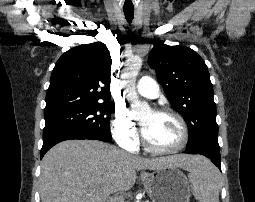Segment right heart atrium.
I'll use <instances>...</instances> for the list:
<instances>
[{"mask_svg": "<svg viewBox=\"0 0 255 202\" xmlns=\"http://www.w3.org/2000/svg\"><path fill=\"white\" fill-rule=\"evenodd\" d=\"M111 134L122 148L133 151L139 142V132L136 124L123 109H116L111 119Z\"/></svg>", "mask_w": 255, "mask_h": 202, "instance_id": "obj_1", "label": "right heart atrium"}]
</instances>
